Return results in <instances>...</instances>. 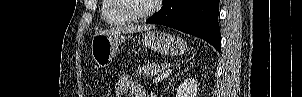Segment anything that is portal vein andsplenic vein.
<instances>
[{
  "instance_id": "obj_1",
  "label": "portal vein and splenic vein",
  "mask_w": 302,
  "mask_h": 97,
  "mask_svg": "<svg viewBox=\"0 0 302 97\" xmlns=\"http://www.w3.org/2000/svg\"><path fill=\"white\" fill-rule=\"evenodd\" d=\"M172 72V69L166 70L161 77H165L166 75H169Z\"/></svg>"
}]
</instances>
